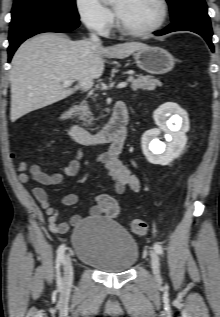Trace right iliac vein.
Masks as SVG:
<instances>
[{
    "instance_id": "right-iliac-vein-1",
    "label": "right iliac vein",
    "mask_w": 220,
    "mask_h": 317,
    "mask_svg": "<svg viewBox=\"0 0 220 317\" xmlns=\"http://www.w3.org/2000/svg\"><path fill=\"white\" fill-rule=\"evenodd\" d=\"M73 276H74V271H73L72 260H71V257L67 255L64 262V276H63L64 290L70 289L73 282Z\"/></svg>"
}]
</instances>
